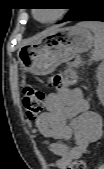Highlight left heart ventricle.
Instances as JSON below:
<instances>
[{
    "label": "left heart ventricle",
    "mask_w": 104,
    "mask_h": 169,
    "mask_svg": "<svg viewBox=\"0 0 104 169\" xmlns=\"http://www.w3.org/2000/svg\"><path fill=\"white\" fill-rule=\"evenodd\" d=\"M56 11L53 9H38L36 16L41 20H49L55 15Z\"/></svg>",
    "instance_id": "left-heart-ventricle-1"
}]
</instances>
